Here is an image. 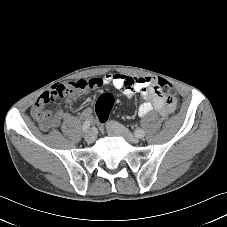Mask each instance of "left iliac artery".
Returning a JSON list of instances; mask_svg holds the SVG:
<instances>
[{
  "label": "left iliac artery",
  "instance_id": "44dca946",
  "mask_svg": "<svg viewBox=\"0 0 227 227\" xmlns=\"http://www.w3.org/2000/svg\"><path fill=\"white\" fill-rule=\"evenodd\" d=\"M135 135H136V137H138V138H143V137L145 136V131L142 130V129H137V130L135 131Z\"/></svg>",
  "mask_w": 227,
  "mask_h": 227
}]
</instances>
